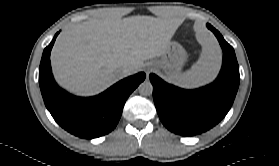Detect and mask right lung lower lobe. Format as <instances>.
Here are the masks:
<instances>
[{
    "label": "right lung lower lobe",
    "mask_w": 279,
    "mask_h": 166,
    "mask_svg": "<svg viewBox=\"0 0 279 166\" xmlns=\"http://www.w3.org/2000/svg\"><path fill=\"white\" fill-rule=\"evenodd\" d=\"M57 35L44 49L39 67L46 108L62 128L78 137L92 139L108 134L118 124L127 98L145 79V73L127 77L97 96H73L59 88L52 76L50 53Z\"/></svg>",
    "instance_id": "98d812e1"
}]
</instances>
